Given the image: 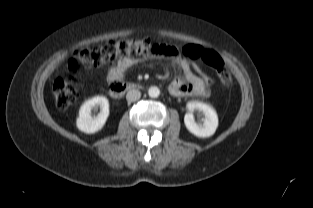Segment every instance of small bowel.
<instances>
[{"instance_id":"c3829d8e","label":"small bowel","mask_w":313,"mask_h":208,"mask_svg":"<svg viewBox=\"0 0 313 208\" xmlns=\"http://www.w3.org/2000/svg\"><path fill=\"white\" fill-rule=\"evenodd\" d=\"M173 71L169 83V92L174 96L187 98H203L210 95V86L200 75L192 71V64L187 58H182L174 48L168 49ZM147 56L132 57L129 54H120L114 57L108 67L107 79L110 84L121 82L126 70L143 61Z\"/></svg>"}]
</instances>
